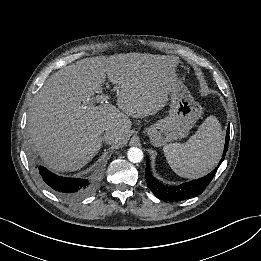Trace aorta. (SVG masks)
Returning a JSON list of instances; mask_svg holds the SVG:
<instances>
[{"mask_svg": "<svg viewBox=\"0 0 261 261\" xmlns=\"http://www.w3.org/2000/svg\"><path fill=\"white\" fill-rule=\"evenodd\" d=\"M127 157L132 163H139L143 159V152L140 148L132 147L127 152Z\"/></svg>", "mask_w": 261, "mask_h": 261, "instance_id": "aorta-1", "label": "aorta"}]
</instances>
